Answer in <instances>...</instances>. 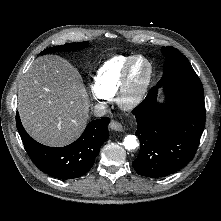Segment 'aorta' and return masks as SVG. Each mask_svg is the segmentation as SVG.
Here are the masks:
<instances>
[{
  "mask_svg": "<svg viewBox=\"0 0 221 221\" xmlns=\"http://www.w3.org/2000/svg\"><path fill=\"white\" fill-rule=\"evenodd\" d=\"M123 145L127 150H134L138 147V142L134 135H127L124 138Z\"/></svg>",
  "mask_w": 221,
  "mask_h": 221,
  "instance_id": "aorta-1",
  "label": "aorta"
}]
</instances>
